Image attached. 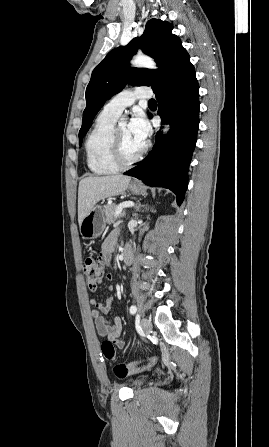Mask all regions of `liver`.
<instances>
[{"label": "liver", "mask_w": 269, "mask_h": 447, "mask_svg": "<svg viewBox=\"0 0 269 447\" xmlns=\"http://www.w3.org/2000/svg\"><path fill=\"white\" fill-rule=\"evenodd\" d=\"M129 176H100L83 178L78 188V224L89 214L97 202L124 194L130 184Z\"/></svg>", "instance_id": "1"}]
</instances>
